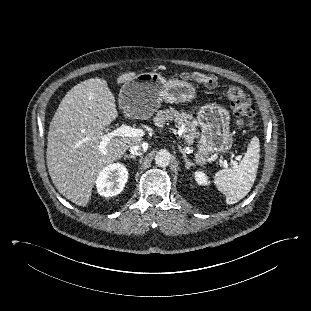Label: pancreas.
<instances>
[{"label":"pancreas","mask_w":311,"mask_h":311,"mask_svg":"<svg viewBox=\"0 0 311 311\" xmlns=\"http://www.w3.org/2000/svg\"><path fill=\"white\" fill-rule=\"evenodd\" d=\"M192 116L186 112H178L174 108L160 110L153 118L154 124L158 127H162L166 122H175L178 128L183 131V138L189 145L193 144L194 139L200 136L197 130V121L192 120Z\"/></svg>","instance_id":"pancreas-1"}]
</instances>
